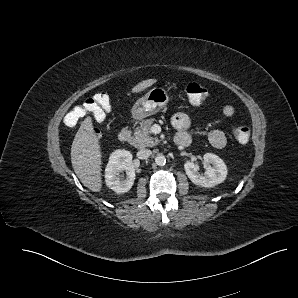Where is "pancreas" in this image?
<instances>
[{
	"label": "pancreas",
	"instance_id": "1",
	"mask_svg": "<svg viewBox=\"0 0 298 298\" xmlns=\"http://www.w3.org/2000/svg\"><path fill=\"white\" fill-rule=\"evenodd\" d=\"M154 118L144 120L139 127L134 131L132 144L134 147L143 149L145 147H154L158 145L160 140L157 137L151 136L150 128Z\"/></svg>",
	"mask_w": 298,
	"mask_h": 298
}]
</instances>
